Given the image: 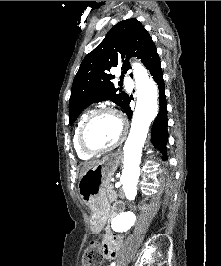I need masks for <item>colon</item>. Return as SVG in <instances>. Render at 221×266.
<instances>
[{
    "instance_id": "obj_1",
    "label": "colon",
    "mask_w": 221,
    "mask_h": 266,
    "mask_svg": "<svg viewBox=\"0 0 221 266\" xmlns=\"http://www.w3.org/2000/svg\"><path fill=\"white\" fill-rule=\"evenodd\" d=\"M101 262V245L98 241H94L85 249L82 264L83 266H100Z\"/></svg>"
}]
</instances>
